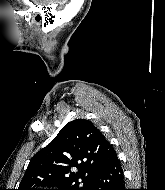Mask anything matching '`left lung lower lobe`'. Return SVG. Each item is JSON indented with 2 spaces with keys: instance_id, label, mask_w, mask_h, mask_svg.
<instances>
[{
  "instance_id": "1",
  "label": "left lung lower lobe",
  "mask_w": 165,
  "mask_h": 190,
  "mask_svg": "<svg viewBox=\"0 0 165 190\" xmlns=\"http://www.w3.org/2000/svg\"><path fill=\"white\" fill-rule=\"evenodd\" d=\"M89 190H126L117 155L96 173Z\"/></svg>"
}]
</instances>
